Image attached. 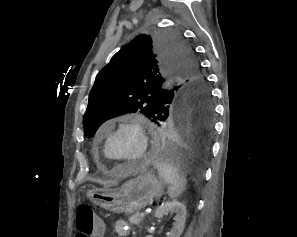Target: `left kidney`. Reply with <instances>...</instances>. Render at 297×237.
Wrapping results in <instances>:
<instances>
[{"instance_id": "5707ae66", "label": "left kidney", "mask_w": 297, "mask_h": 237, "mask_svg": "<svg viewBox=\"0 0 297 237\" xmlns=\"http://www.w3.org/2000/svg\"><path fill=\"white\" fill-rule=\"evenodd\" d=\"M167 213H176L175 222L167 237H180L185 228L186 206L179 201H171L163 203L155 212V217L162 218ZM146 237H152L148 235Z\"/></svg>"}]
</instances>
